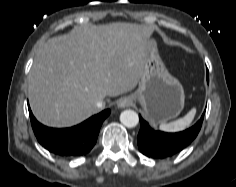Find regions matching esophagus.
<instances>
[{"mask_svg":"<svg viewBox=\"0 0 236 187\" xmlns=\"http://www.w3.org/2000/svg\"><path fill=\"white\" fill-rule=\"evenodd\" d=\"M131 105H132V100L128 97H123V98L119 99L117 102V106L119 108H125V107L131 106Z\"/></svg>","mask_w":236,"mask_h":187,"instance_id":"1","label":"esophagus"}]
</instances>
